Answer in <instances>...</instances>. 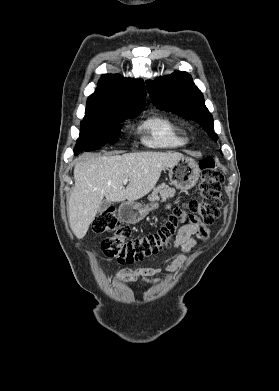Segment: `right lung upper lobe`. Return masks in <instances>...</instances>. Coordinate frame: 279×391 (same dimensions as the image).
Returning <instances> with one entry per match:
<instances>
[{"label":"right lung upper lobe","mask_w":279,"mask_h":391,"mask_svg":"<svg viewBox=\"0 0 279 391\" xmlns=\"http://www.w3.org/2000/svg\"><path fill=\"white\" fill-rule=\"evenodd\" d=\"M145 97L143 81L121 75H103L95 93L88 98L86 113L142 109Z\"/></svg>","instance_id":"obj_1"}]
</instances>
